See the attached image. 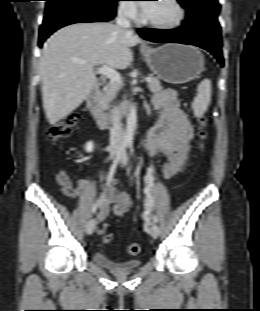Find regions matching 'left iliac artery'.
I'll use <instances>...</instances> for the list:
<instances>
[{"mask_svg": "<svg viewBox=\"0 0 260 311\" xmlns=\"http://www.w3.org/2000/svg\"><path fill=\"white\" fill-rule=\"evenodd\" d=\"M128 146L130 148V151L131 153L133 154V143L132 142H129L128 143ZM148 180H149V186H151L153 184V178H152V175L149 173L148 174ZM146 206L149 207V208H152L153 207V204H152V199L149 198L147 199L146 201ZM152 219L154 222H158V218L156 215L152 214Z\"/></svg>", "mask_w": 260, "mask_h": 311, "instance_id": "obj_1", "label": "left iliac artery"}]
</instances>
